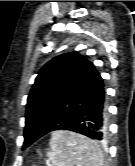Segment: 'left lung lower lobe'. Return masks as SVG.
Segmentation results:
<instances>
[{
  "instance_id": "left-lung-lower-lobe-1",
  "label": "left lung lower lobe",
  "mask_w": 135,
  "mask_h": 166,
  "mask_svg": "<svg viewBox=\"0 0 135 166\" xmlns=\"http://www.w3.org/2000/svg\"><path fill=\"white\" fill-rule=\"evenodd\" d=\"M106 119L104 82L94 65L88 62L62 110L44 124L26 122L23 149L55 130H70L91 139L104 140L107 132Z\"/></svg>"
}]
</instances>
